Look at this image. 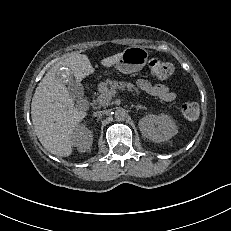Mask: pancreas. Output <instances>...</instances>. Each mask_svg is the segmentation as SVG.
Segmentation results:
<instances>
[{"mask_svg":"<svg viewBox=\"0 0 231 231\" xmlns=\"http://www.w3.org/2000/svg\"><path fill=\"white\" fill-rule=\"evenodd\" d=\"M127 88L131 92H135L134 95H139V90L132 83H126L124 81H115L107 79L104 82H101L98 85V103L101 106H108L110 104V100L112 96H109L110 91H114L116 89L125 90ZM102 100V101H101Z\"/></svg>","mask_w":231,"mask_h":231,"instance_id":"cf45deb5","label":"pancreas"}]
</instances>
